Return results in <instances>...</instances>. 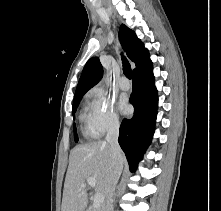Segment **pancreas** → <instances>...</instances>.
Here are the masks:
<instances>
[{
    "mask_svg": "<svg viewBox=\"0 0 221 211\" xmlns=\"http://www.w3.org/2000/svg\"><path fill=\"white\" fill-rule=\"evenodd\" d=\"M103 207L104 206H100V207H90L87 211H103Z\"/></svg>",
    "mask_w": 221,
    "mask_h": 211,
    "instance_id": "1",
    "label": "pancreas"
}]
</instances>
